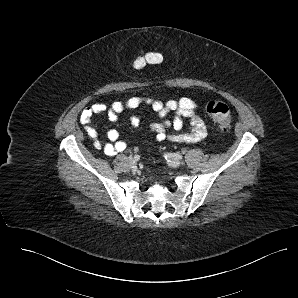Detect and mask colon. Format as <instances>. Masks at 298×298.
Here are the masks:
<instances>
[{
	"mask_svg": "<svg viewBox=\"0 0 298 298\" xmlns=\"http://www.w3.org/2000/svg\"><path fill=\"white\" fill-rule=\"evenodd\" d=\"M161 61L160 54L154 49H149L146 53L138 56L134 60V66L142 69L147 65L158 64ZM207 115L221 128L227 129L232 122V112L228 105L221 101H210L205 106Z\"/></svg>",
	"mask_w": 298,
	"mask_h": 298,
	"instance_id": "obj_1",
	"label": "colon"
}]
</instances>
